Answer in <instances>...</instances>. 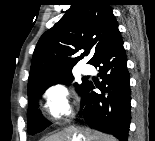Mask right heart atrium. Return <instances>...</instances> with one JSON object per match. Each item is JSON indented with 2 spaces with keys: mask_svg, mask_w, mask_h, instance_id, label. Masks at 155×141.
<instances>
[{
  "mask_svg": "<svg viewBox=\"0 0 155 141\" xmlns=\"http://www.w3.org/2000/svg\"><path fill=\"white\" fill-rule=\"evenodd\" d=\"M44 98L46 112L52 120L60 122L73 114L75 98L62 84H55L47 88Z\"/></svg>",
  "mask_w": 155,
  "mask_h": 141,
  "instance_id": "1",
  "label": "right heart atrium"
}]
</instances>
